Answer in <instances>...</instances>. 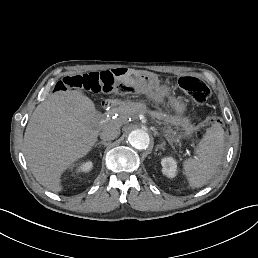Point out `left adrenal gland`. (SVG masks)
I'll return each instance as SVG.
<instances>
[{"label":"left adrenal gland","mask_w":258,"mask_h":258,"mask_svg":"<svg viewBox=\"0 0 258 258\" xmlns=\"http://www.w3.org/2000/svg\"><path fill=\"white\" fill-rule=\"evenodd\" d=\"M164 146H165V142H163L162 144H158V145L156 146L155 151H158V149L165 150Z\"/></svg>","instance_id":"left-adrenal-gland-1"}]
</instances>
